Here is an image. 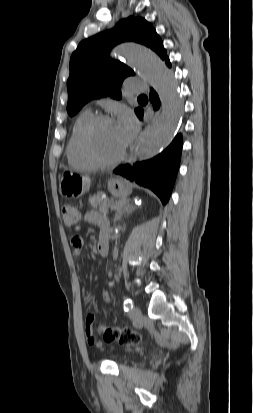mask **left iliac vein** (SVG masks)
I'll return each instance as SVG.
<instances>
[{"label":"left iliac vein","instance_id":"1","mask_svg":"<svg viewBox=\"0 0 253 413\" xmlns=\"http://www.w3.org/2000/svg\"><path fill=\"white\" fill-rule=\"evenodd\" d=\"M130 317L133 319H138L141 317V310L139 307L134 306L130 311Z\"/></svg>","mask_w":253,"mask_h":413}]
</instances>
